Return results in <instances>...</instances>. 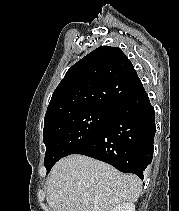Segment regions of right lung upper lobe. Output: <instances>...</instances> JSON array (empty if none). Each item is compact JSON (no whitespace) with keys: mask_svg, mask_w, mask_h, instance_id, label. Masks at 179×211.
Masks as SVG:
<instances>
[{"mask_svg":"<svg viewBox=\"0 0 179 211\" xmlns=\"http://www.w3.org/2000/svg\"><path fill=\"white\" fill-rule=\"evenodd\" d=\"M142 83L118 47L101 46L73 65L54 91L44 126L68 114L89 109H114Z\"/></svg>","mask_w":179,"mask_h":211,"instance_id":"cb5924a9","label":"right lung upper lobe"}]
</instances>
